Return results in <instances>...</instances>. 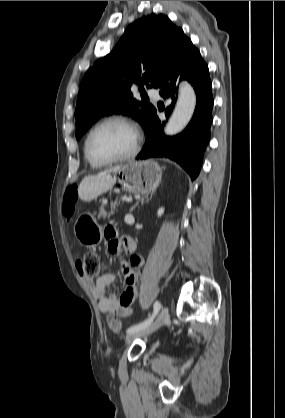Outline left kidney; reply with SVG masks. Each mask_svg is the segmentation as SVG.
<instances>
[{
    "label": "left kidney",
    "instance_id": "obj_1",
    "mask_svg": "<svg viewBox=\"0 0 285 418\" xmlns=\"http://www.w3.org/2000/svg\"><path fill=\"white\" fill-rule=\"evenodd\" d=\"M163 213H164V208L163 207L159 208L157 211L158 217H160Z\"/></svg>",
    "mask_w": 285,
    "mask_h": 418
}]
</instances>
